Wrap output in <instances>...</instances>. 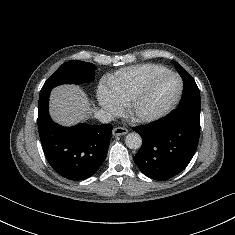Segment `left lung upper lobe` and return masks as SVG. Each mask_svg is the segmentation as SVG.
<instances>
[{"instance_id":"obj_1","label":"left lung upper lobe","mask_w":235,"mask_h":235,"mask_svg":"<svg viewBox=\"0 0 235 235\" xmlns=\"http://www.w3.org/2000/svg\"><path fill=\"white\" fill-rule=\"evenodd\" d=\"M174 66L180 74L183 83L189 84L184 86L183 97L180 101L179 106H183L186 104H195L201 106L200 92L193 77L178 63L175 62Z\"/></svg>"}]
</instances>
